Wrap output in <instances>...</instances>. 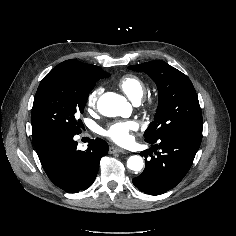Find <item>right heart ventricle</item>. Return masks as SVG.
Instances as JSON below:
<instances>
[{
	"mask_svg": "<svg viewBox=\"0 0 236 236\" xmlns=\"http://www.w3.org/2000/svg\"><path fill=\"white\" fill-rule=\"evenodd\" d=\"M118 86L134 102H139L146 91L145 81L134 74L124 75L118 81Z\"/></svg>",
	"mask_w": 236,
	"mask_h": 236,
	"instance_id": "right-heart-ventricle-1",
	"label": "right heart ventricle"
}]
</instances>
